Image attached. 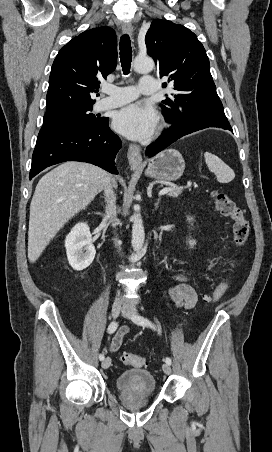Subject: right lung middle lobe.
I'll return each instance as SVG.
<instances>
[{
  "mask_svg": "<svg viewBox=\"0 0 272 452\" xmlns=\"http://www.w3.org/2000/svg\"><path fill=\"white\" fill-rule=\"evenodd\" d=\"M93 105L71 109L63 112L46 114L43 118V124L51 122H71L79 125H92L101 121L94 114L90 113Z\"/></svg>",
  "mask_w": 272,
  "mask_h": 452,
  "instance_id": "right-lung-middle-lobe-1",
  "label": "right lung middle lobe"
}]
</instances>
